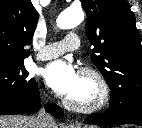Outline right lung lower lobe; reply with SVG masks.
I'll use <instances>...</instances> for the list:
<instances>
[{
    "label": "right lung lower lobe",
    "mask_w": 142,
    "mask_h": 128,
    "mask_svg": "<svg viewBox=\"0 0 142 128\" xmlns=\"http://www.w3.org/2000/svg\"><path fill=\"white\" fill-rule=\"evenodd\" d=\"M38 88L28 96L22 98H0V115L27 114L37 110L41 105ZM46 110L54 117L61 118L63 112L56 104L46 105Z\"/></svg>",
    "instance_id": "obj_1"
}]
</instances>
